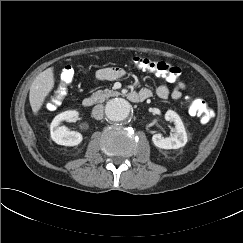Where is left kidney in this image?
Returning a JSON list of instances; mask_svg holds the SVG:
<instances>
[{"instance_id": "5707ae66", "label": "left kidney", "mask_w": 243, "mask_h": 243, "mask_svg": "<svg viewBox=\"0 0 243 243\" xmlns=\"http://www.w3.org/2000/svg\"><path fill=\"white\" fill-rule=\"evenodd\" d=\"M165 119L170 122H174L175 128L172 129L174 132L170 137L164 138L160 133H156L152 136L154 145L162 149H178L185 146L187 143V133L185 131L184 124L179 115L168 110L165 114Z\"/></svg>"}]
</instances>
